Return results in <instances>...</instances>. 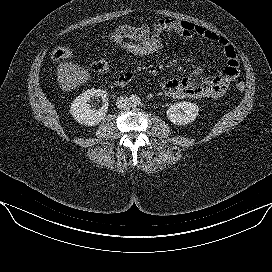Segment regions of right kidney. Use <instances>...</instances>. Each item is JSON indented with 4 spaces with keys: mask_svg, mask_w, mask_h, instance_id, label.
<instances>
[{
    "mask_svg": "<svg viewBox=\"0 0 272 272\" xmlns=\"http://www.w3.org/2000/svg\"><path fill=\"white\" fill-rule=\"evenodd\" d=\"M101 97L104 104L98 109L95 110L91 108L89 101L91 97ZM108 110V98L107 93L101 89H88L84 93L80 94L76 99L71 103L70 113L74 119L81 124L87 126H94L101 122L104 119Z\"/></svg>",
    "mask_w": 272,
    "mask_h": 272,
    "instance_id": "right-kidney-1",
    "label": "right kidney"
}]
</instances>
